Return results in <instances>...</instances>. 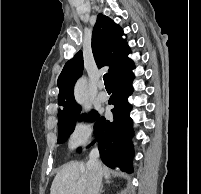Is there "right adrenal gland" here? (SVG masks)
<instances>
[{"label": "right adrenal gland", "mask_w": 201, "mask_h": 194, "mask_svg": "<svg viewBox=\"0 0 201 194\" xmlns=\"http://www.w3.org/2000/svg\"><path fill=\"white\" fill-rule=\"evenodd\" d=\"M102 188H103V186H101L100 191H99V194H101V193H102V191H103V190H102Z\"/></svg>", "instance_id": "obj_1"}]
</instances>
